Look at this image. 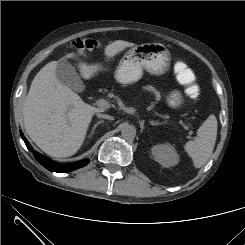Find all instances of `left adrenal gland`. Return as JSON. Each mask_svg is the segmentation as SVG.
Masks as SVG:
<instances>
[{
  "label": "left adrenal gland",
  "mask_w": 245,
  "mask_h": 245,
  "mask_svg": "<svg viewBox=\"0 0 245 245\" xmlns=\"http://www.w3.org/2000/svg\"><path fill=\"white\" fill-rule=\"evenodd\" d=\"M150 124L153 125V126H156V125H161L163 123L162 122H158V121L150 120Z\"/></svg>",
  "instance_id": "obj_1"
}]
</instances>
